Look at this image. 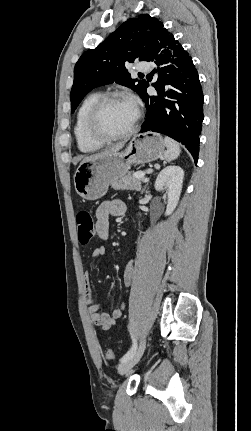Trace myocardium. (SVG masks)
<instances>
[{
	"label": "myocardium",
	"instance_id": "myocardium-1",
	"mask_svg": "<svg viewBox=\"0 0 251 431\" xmlns=\"http://www.w3.org/2000/svg\"><path fill=\"white\" fill-rule=\"evenodd\" d=\"M121 100L129 101V98L122 94L109 93L101 96L97 100V102L92 106L86 119V132L92 140L104 144V143H109V142L128 138L136 132L142 117L141 109L137 105L135 106L136 107L135 120L132 126L127 131L116 135H109L102 132L99 129V126H98L99 118L105 106H107L111 102L121 101Z\"/></svg>",
	"mask_w": 251,
	"mask_h": 431
}]
</instances>
